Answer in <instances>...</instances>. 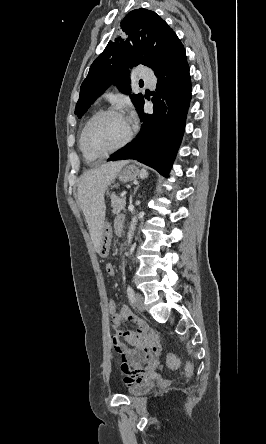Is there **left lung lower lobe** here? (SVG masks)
<instances>
[{"label": "left lung lower lobe", "instance_id": "left-lung-lower-lobe-1", "mask_svg": "<svg viewBox=\"0 0 266 444\" xmlns=\"http://www.w3.org/2000/svg\"><path fill=\"white\" fill-rule=\"evenodd\" d=\"M156 77L158 96L152 99L153 114L144 113L143 100L138 110L143 121L140 133L127 148L113 154L108 161L135 159L167 176L181 143L191 99L186 53Z\"/></svg>", "mask_w": 266, "mask_h": 444}]
</instances>
